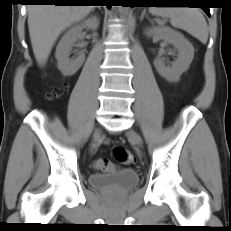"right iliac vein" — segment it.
<instances>
[{"label": "right iliac vein", "mask_w": 231, "mask_h": 231, "mask_svg": "<svg viewBox=\"0 0 231 231\" xmlns=\"http://www.w3.org/2000/svg\"><path fill=\"white\" fill-rule=\"evenodd\" d=\"M100 134H101V130H97V132L94 134L93 136V141L94 142H97V140L99 139L100 137Z\"/></svg>", "instance_id": "63e3f726"}]
</instances>
